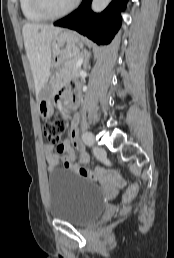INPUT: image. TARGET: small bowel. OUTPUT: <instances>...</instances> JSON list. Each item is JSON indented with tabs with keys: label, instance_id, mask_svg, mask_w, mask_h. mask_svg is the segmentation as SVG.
<instances>
[{
	"label": "small bowel",
	"instance_id": "1",
	"mask_svg": "<svg viewBox=\"0 0 174 258\" xmlns=\"http://www.w3.org/2000/svg\"><path fill=\"white\" fill-rule=\"evenodd\" d=\"M63 97H78L75 89H66L58 96V101L61 103ZM79 118H72L71 126L68 134V139L59 143L57 146L47 144L44 146V155L49 172L54 171L59 163L75 172L82 175L84 179H101V184H127V179L121 178V171H105L104 167H89L88 155L79 140ZM76 151L78 152L76 154ZM86 170V171H85Z\"/></svg>",
	"mask_w": 174,
	"mask_h": 258
}]
</instances>
